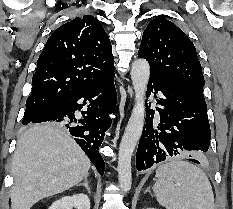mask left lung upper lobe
I'll return each instance as SVG.
<instances>
[{
  "label": "left lung upper lobe",
  "mask_w": 233,
  "mask_h": 209,
  "mask_svg": "<svg viewBox=\"0 0 233 209\" xmlns=\"http://www.w3.org/2000/svg\"><path fill=\"white\" fill-rule=\"evenodd\" d=\"M138 56L150 73L185 86L204 100V77L192 41L171 21L159 17L145 29Z\"/></svg>",
  "instance_id": "1"
}]
</instances>
